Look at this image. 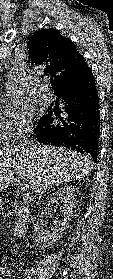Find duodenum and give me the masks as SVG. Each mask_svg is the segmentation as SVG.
Instances as JSON below:
<instances>
[{"mask_svg": "<svg viewBox=\"0 0 113 279\" xmlns=\"http://www.w3.org/2000/svg\"><path fill=\"white\" fill-rule=\"evenodd\" d=\"M30 219V210L27 207L21 206L16 210V221L14 226V236L22 238L28 229Z\"/></svg>", "mask_w": 113, "mask_h": 279, "instance_id": "obj_1", "label": "duodenum"}]
</instances>
